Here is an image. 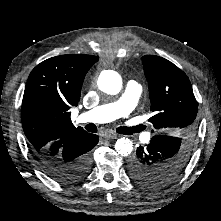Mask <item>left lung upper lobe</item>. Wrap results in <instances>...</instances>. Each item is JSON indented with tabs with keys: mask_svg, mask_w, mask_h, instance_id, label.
Segmentation results:
<instances>
[{
	"mask_svg": "<svg viewBox=\"0 0 221 221\" xmlns=\"http://www.w3.org/2000/svg\"><path fill=\"white\" fill-rule=\"evenodd\" d=\"M149 83V119L157 132L170 137L160 160L162 173L141 176V184L157 187L174 180L188 163L197 132L198 104L187 75L170 61L155 55L142 57ZM152 132H154L152 130Z\"/></svg>",
	"mask_w": 221,
	"mask_h": 221,
	"instance_id": "obj_1",
	"label": "left lung upper lobe"
}]
</instances>
